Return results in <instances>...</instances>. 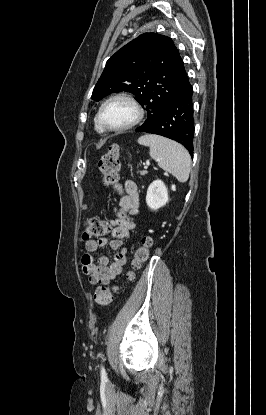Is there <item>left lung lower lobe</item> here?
I'll use <instances>...</instances> for the list:
<instances>
[{"instance_id": "1", "label": "left lung lower lobe", "mask_w": 266, "mask_h": 415, "mask_svg": "<svg viewBox=\"0 0 266 415\" xmlns=\"http://www.w3.org/2000/svg\"><path fill=\"white\" fill-rule=\"evenodd\" d=\"M193 87L188 79L168 102L159 117L136 131L161 135L181 143L193 156Z\"/></svg>"}]
</instances>
